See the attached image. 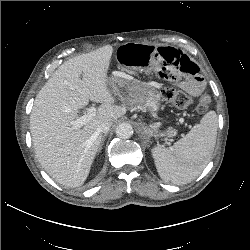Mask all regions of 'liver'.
<instances>
[{
    "mask_svg": "<svg viewBox=\"0 0 250 250\" xmlns=\"http://www.w3.org/2000/svg\"><path fill=\"white\" fill-rule=\"evenodd\" d=\"M112 53L106 45L65 61L34 101L30 131L36 157L57 183L70 188L83 185L89 175L102 141L100 123H113L126 113L108 86ZM89 100L101 103L96 115L74 129L72 122Z\"/></svg>",
    "mask_w": 250,
    "mask_h": 250,
    "instance_id": "obj_1",
    "label": "liver"
}]
</instances>
